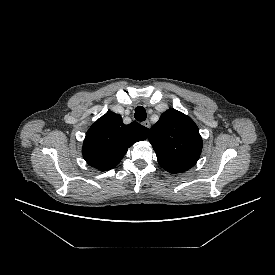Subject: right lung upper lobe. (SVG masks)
I'll return each instance as SVG.
<instances>
[{"mask_svg":"<svg viewBox=\"0 0 275 275\" xmlns=\"http://www.w3.org/2000/svg\"><path fill=\"white\" fill-rule=\"evenodd\" d=\"M149 129L137 122L125 125L119 114L108 111L87 131L82 153L86 162L101 171L114 168L135 142L145 140Z\"/></svg>","mask_w":275,"mask_h":275,"instance_id":"right-lung-upper-lobe-1","label":"right lung upper lobe"}]
</instances>
